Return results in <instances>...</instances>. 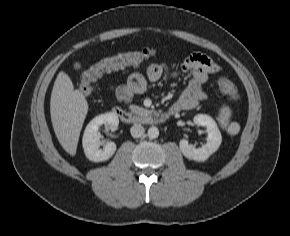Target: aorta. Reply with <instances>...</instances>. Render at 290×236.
Instances as JSON below:
<instances>
[{"label": "aorta", "instance_id": "obj_1", "mask_svg": "<svg viewBox=\"0 0 290 236\" xmlns=\"http://www.w3.org/2000/svg\"><path fill=\"white\" fill-rule=\"evenodd\" d=\"M147 134L150 139H155L159 136V130L157 127L152 126L148 129Z\"/></svg>", "mask_w": 290, "mask_h": 236}]
</instances>
